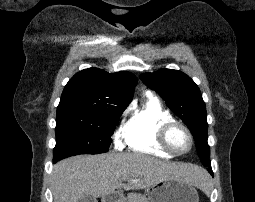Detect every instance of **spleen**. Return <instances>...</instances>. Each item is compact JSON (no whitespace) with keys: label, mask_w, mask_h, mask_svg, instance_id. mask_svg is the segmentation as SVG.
I'll return each instance as SVG.
<instances>
[{"label":"spleen","mask_w":255,"mask_h":202,"mask_svg":"<svg viewBox=\"0 0 255 202\" xmlns=\"http://www.w3.org/2000/svg\"><path fill=\"white\" fill-rule=\"evenodd\" d=\"M207 183H208V178H206L203 182V187H206L207 186Z\"/></svg>","instance_id":"3e777b00"}]
</instances>
